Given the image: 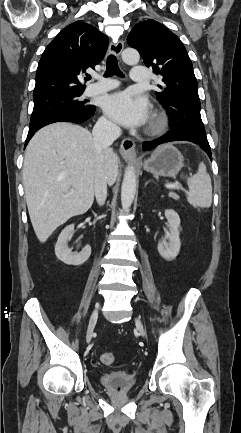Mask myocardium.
Returning <instances> with one entry per match:
<instances>
[{"mask_svg": "<svg viewBox=\"0 0 241 433\" xmlns=\"http://www.w3.org/2000/svg\"><path fill=\"white\" fill-rule=\"evenodd\" d=\"M166 125L167 119L161 114H156L151 122L150 131L155 134L160 133L166 128Z\"/></svg>", "mask_w": 241, "mask_h": 433, "instance_id": "1", "label": "myocardium"}]
</instances>
